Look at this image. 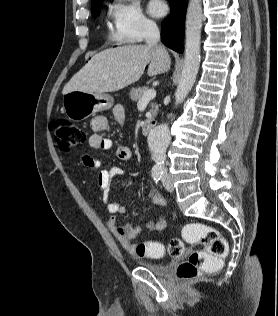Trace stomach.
I'll use <instances>...</instances> for the list:
<instances>
[{
  "instance_id": "1",
  "label": "stomach",
  "mask_w": 278,
  "mask_h": 316,
  "mask_svg": "<svg viewBox=\"0 0 278 316\" xmlns=\"http://www.w3.org/2000/svg\"><path fill=\"white\" fill-rule=\"evenodd\" d=\"M113 98L103 93L72 91L64 94L62 109L72 121H81L113 106Z\"/></svg>"
}]
</instances>
